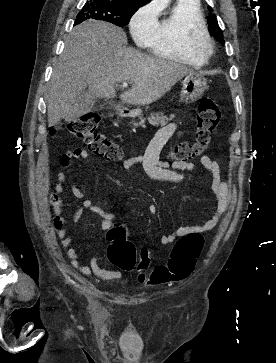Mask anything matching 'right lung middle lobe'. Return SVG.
I'll return each instance as SVG.
<instances>
[{
	"mask_svg": "<svg viewBox=\"0 0 276 363\" xmlns=\"http://www.w3.org/2000/svg\"><path fill=\"white\" fill-rule=\"evenodd\" d=\"M140 4L122 3L111 0H89L78 13L75 24L88 19L103 20L117 26H125Z\"/></svg>",
	"mask_w": 276,
	"mask_h": 363,
	"instance_id": "right-lung-middle-lobe-1",
	"label": "right lung middle lobe"
}]
</instances>
